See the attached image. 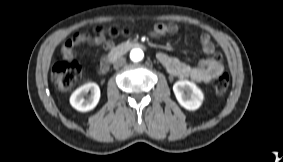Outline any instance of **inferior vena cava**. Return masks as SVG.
Returning a JSON list of instances; mask_svg holds the SVG:
<instances>
[{
  "label": "inferior vena cava",
  "instance_id": "obj_1",
  "mask_svg": "<svg viewBox=\"0 0 283 162\" xmlns=\"http://www.w3.org/2000/svg\"><path fill=\"white\" fill-rule=\"evenodd\" d=\"M126 62V59L121 57L119 59H117L115 62H114V68H119L121 67L122 65H124Z\"/></svg>",
  "mask_w": 283,
  "mask_h": 162
}]
</instances>
